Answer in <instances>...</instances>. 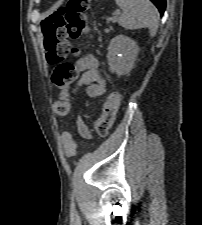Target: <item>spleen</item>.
Listing matches in <instances>:
<instances>
[{
	"mask_svg": "<svg viewBox=\"0 0 202 225\" xmlns=\"http://www.w3.org/2000/svg\"><path fill=\"white\" fill-rule=\"evenodd\" d=\"M123 13L118 23L125 29L148 28L150 36L156 34L159 13L149 0H115Z\"/></svg>",
	"mask_w": 202,
	"mask_h": 225,
	"instance_id": "1",
	"label": "spleen"
}]
</instances>
